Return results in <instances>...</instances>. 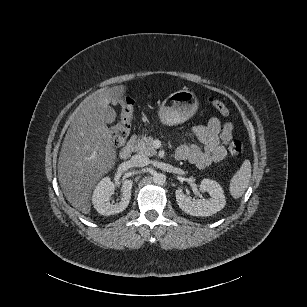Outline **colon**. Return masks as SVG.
Wrapping results in <instances>:
<instances>
[{
    "label": "colon",
    "mask_w": 307,
    "mask_h": 307,
    "mask_svg": "<svg viewBox=\"0 0 307 307\" xmlns=\"http://www.w3.org/2000/svg\"><path fill=\"white\" fill-rule=\"evenodd\" d=\"M209 103L222 115L228 116V107L220 100L209 98ZM133 100L125 97L123 100L122 113L120 121L111 129V135L115 145L120 146L124 143L130 132V125L133 115ZM243 151V144L239 139H233L229 144L231 155H239Z\"/></svg>",
    "instance_id": "1"
}]
</instances>
